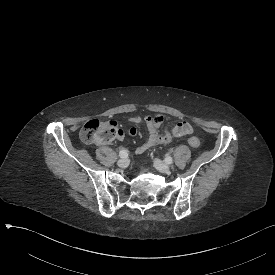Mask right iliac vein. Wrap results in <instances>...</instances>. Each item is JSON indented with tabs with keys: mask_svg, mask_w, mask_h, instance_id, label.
Returning a JSON list of instances; mask_svg holds the SVG:
<instances>
[{
	"mask_svg": "<svg viewBox=\"0 0 275 275\" xmlns=\"http://www.w3.org/2000/svg\"><path fill=\"white\" fill-rule=\"evenodd\" d=\"M117 165L121 168H126L129 165V160L125 158H121L118 160Z\"/></svg>",
	"mask_w": 275,
	"mask_h": 275,
	"instance_id": "63e3f726",
	"label": "right iliac vein"
}]
</instances>
